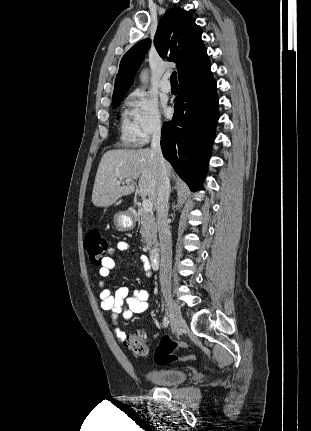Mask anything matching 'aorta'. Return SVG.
<instances>
[{
  "mask_svg": "<svg viewBox=\"0 0 311 431\" xmlns=\"http://www.w3.org/2000/svg\"><path fill=\"white\" fill-rule=\"evenodd\" d=\"M140 80H141V82H143V84H147V82H148L147 70H143V72L140 76Z\"/></svg>",
  "mask_w": 311,
  "mask_h": 431,
  "instance_id": "aorta-1",
  "label": "aorta"
}]
</instances>
